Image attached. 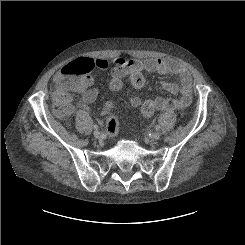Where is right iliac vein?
Here are the masks:
<instances>
[{
	"label": "right iliac vein",
	"instance_id": "1",
	"mask_svg": "<svg viewBox=\"0 0 245 245\" xmlns=\"http://www.w3.org/2000/svg\"><path fill=\"white\" fill-rule=\"evenodd\" d=\"M93 134L98 139L101 137V133L98 130H95Z\"/></svg>",
	"mask_w": 245,
	"mask_h": 245
}]
</instances>
